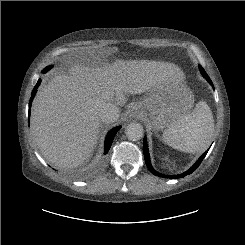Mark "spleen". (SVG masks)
<instances>
[{"instance_id": "1", "label": "spleen", "mask_w": 245, "mask_h": 245, "mask_svg": "<svg viewBox=\"0 0 245 245\" xmlns=\"http://www.w3.org/2000/svg\"><path fill=\"white\" fill-rule=\"evenodd\" d=\"M213 136L212 111L206 102L200 101L191 114L164 130L163 141L186 153H201L209 147Z\"/></svg>"}]
</instances>
